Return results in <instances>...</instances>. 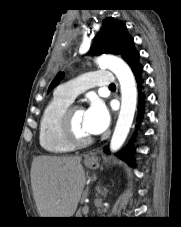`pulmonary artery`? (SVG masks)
I'll use <instances>...</instances> for the list:
<instances>
[{
    "mask_svg": "<svg viewBox=\"0 0 181 227\" xmlns=\"http://www.w3.org/2000/svg\"><path fill=\"white\" fill-rule=\"evenodd\" d=\"M114 75L109 71H92L72 81L60 85L56 93L73 101L83 90L99 86L105 87L113 84Z\"/></svg>",
    "mask_w": 181,
    "mask_h": 227,
    "instance_id": "1",
    "label": "pulmonary artery"
}]
</instances>
